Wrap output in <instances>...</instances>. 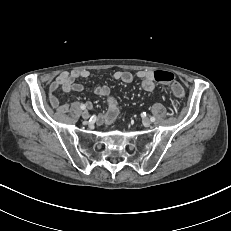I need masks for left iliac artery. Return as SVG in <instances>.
Here are the masks:
<instances>
[{
    "instance_id": "left-iliac-artery-1",
    "label": "left iliac artery",
    "mask_w": 231,
    "mask_h": 231,
    "mask_svg": "<svg viewBox=\"0 0 231 231\" xmlns=\"http://www.w3.org/2000/svg\"><path fill=\"white\" fill-rule=\"evenodd\" d=\"M150 120H151V122H154L155 121V117H151Z\"/></svg>"
}]
</instances>
